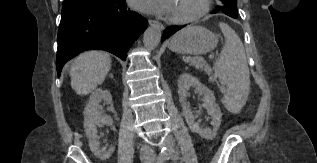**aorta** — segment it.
Segmentation results:
<instances>
[{
  "instance_id": "obj_1",
  "label": "aorta",
  "mask_w": 317,
  "mask_h": 163,
  "mask_svg": "<svg viewBox=\"0 0 317 163\" xmlns=\"http://www.w3.org/2000/svg\"><path fill=\"white\" fill-rule=\"evenodd\" d=\"M161 36H162V32L160 27L157 24L151 25L144 32V35H143L144 46L148 50L155 49L161 40Z\"/></svg>"
}]
</instances>
